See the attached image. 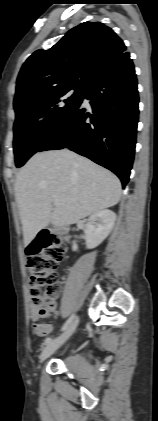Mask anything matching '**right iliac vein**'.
I'll return each instance as SVG.
<instances>
[{
    "label": "right iliac vein",
    "instance_id": "63e3f726",
    "mask_svg": "<svg viewBox=\"0 0 158 421\" xmlns=\"http://www.w3.org/2000/svg\"><path fill=\"white\" fill-rule=\"evenodd\" d=\"M78 325V318H75L68 328L57 338L50 341L42 350L40 355V362H44L50 357L75 331Z\"/></svg>",
    "mask_w": 158,
    "mask_h": 421
}]
</instances>
